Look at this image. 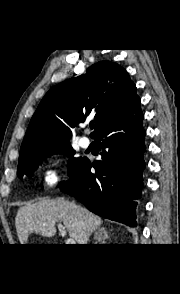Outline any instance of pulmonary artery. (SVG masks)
<instances>
[{
	"instance_id": "e3ab8cb5",
	"label": "pulmonary artery",
	"mask_w": 180,
	"mask_h": 294,
	"mask_svg": "<svg viewBox=\"0 0 180 294\" xmlns=\"http://www.w3.org/2000/svg\"><path fill=\"white\" fill-rule=\"evenodd\" d=\"M91 143V140L88 137H82L80 139V145L84 148L88 147Z\"/></svg>"
}]
</instances>
